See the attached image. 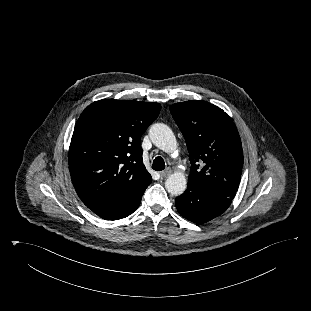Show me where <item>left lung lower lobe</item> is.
<instances>
[{
	"label": "left lung lower lobe",
	"mask_w": 311,
	"mask_h": 311,
	"mask_svg": "<svg viewBox=\"0 0 311 311\" xmlns=\"http://www.w3.org/2000/svg\"><path fill=\"white\" fill-rule=\"evenodd\" d=\"M232 199L213 192L195 181L188 180L186 191L176 198L178 212L194 223H205L221 215Z\"/></svg>",
	"instance_id": "left-lung-lower-lobe-1"
}]
</instances>
